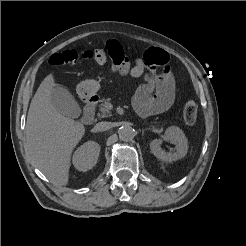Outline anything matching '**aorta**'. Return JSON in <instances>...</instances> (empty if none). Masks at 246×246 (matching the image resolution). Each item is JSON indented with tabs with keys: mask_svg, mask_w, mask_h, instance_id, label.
Wrapping results in <instances>:
<instances>
[{
	"mask_svg": "<svg viewBox=\"0 0 246 246\" xmlns=\"http://www.w3.org/2000/svg\"><path fill=\"white\" fill-rule=\"evenodd\" d=\"M118 134H119V138L122 141L127 142V141H130L134 138L135 130L129 125H124V126L119 128Z\"/></svg>",
	"mask_w": 246,
	"mask_h": 246,
	"instance_id": "1",
	"label": "aorta"
}]
</instances>
